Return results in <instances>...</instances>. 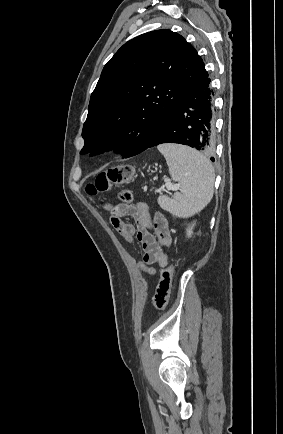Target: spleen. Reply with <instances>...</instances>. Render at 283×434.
Returning a JSON list of instances; mask_svg holds the SVG:
<instances>
[{
    "mask_svg": "<svg viewBox=\"0 0 283 434\" xmlns=\"http://www.w3.org/2000/svg\"><path fill=\"white\" fill-rule=\"evenodd\" d=\"M158 150L164 155L169 173L180 184L181 197L160 196V207L177 217H190L211 201L214 193V168L200 152L183 145L162 144Z\"/></svg>",
    "mask_w": 283,
    "mask_h": 434,
    "instance_id": "1",
    "label": "spleen"
}]
</instances>
